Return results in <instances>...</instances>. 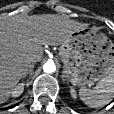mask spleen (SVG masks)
Segmentation results:
<instances>
[{
  "label": "spleen",
  "instance_id": "3e777b00",
  "mask_svg": "<svg viewBox=\"0 0 114 114\" xmlns=\"http://www.w3.org/2000/svg\"><path fill=\"white\" fill-rule=\"evenodd\" d=\"M80 99L91 108H98L108 104L114 97V70L102 78L93 89L81 87Z\"/></svg>",
  "mask_w": 114,
  "mask_h": 114
}]
</instances>
